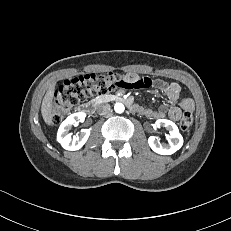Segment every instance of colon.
Listing matches in <instances>:
<instances>
[{
    "label": "colon",
    "mask_w": 231,
    "mask_h": 231,
    "mask_svg": "<svg viewBox=\"0 0 231 231\" xmlns=\"http://www.w3.org/2000/svg\"><path fill=\"white\" fill-rule=\"evenodd\" d=\"M152 81L148 77H140L128 81L120 74L92 73L65 80L54 92L52 120L59 123L79 103L100 94H105L119 88H148ZM193 123L191 112H185L179 122L182 131H188Z\"/></svg>",
    "instance_id": "1"
}]
</instances>
